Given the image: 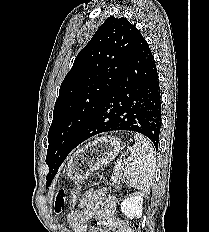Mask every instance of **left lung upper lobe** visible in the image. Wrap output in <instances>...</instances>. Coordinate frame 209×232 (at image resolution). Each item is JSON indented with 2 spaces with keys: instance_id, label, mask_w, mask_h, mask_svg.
<instances>
[{
  "instance_id": "5c2ea615",
  "label": "left lung upper lobe",
  "mask_w": 209,
  "mask_h": 232,
  "mask_svg": "<svg viewBox=\"0 0 209 232\" xmlns=\"http://www.w3.org/2000/svg\"><path fill=\"white\" fill-rule=\"evenodd\" d=\"M141 37L126 18L110 16L75 58L60 86L48 132V185L79 133L117 85Z\"/></svg>"
}]
</instances>
